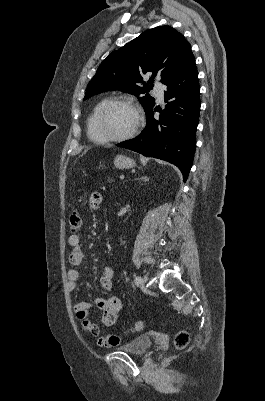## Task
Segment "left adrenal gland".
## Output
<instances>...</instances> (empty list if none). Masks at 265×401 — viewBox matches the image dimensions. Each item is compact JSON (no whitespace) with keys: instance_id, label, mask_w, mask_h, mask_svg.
I'll list each match as a JSON object with an SVG mask.
<instances>
[{"instance_id":"obj_1","label":"left adrenal gland","mask_w":265,"mask_h":401,"mask_svg":"<svg viewBox=\"0 0 265 401\" xmlns=\"http://www.w3.org/2000/svg\"><path fill=\"white\" fill-rule=\"evenodd\" d=\"M141 180H145L146 182V180H148V176H141Z\"/></svg>"}]
</instances>
